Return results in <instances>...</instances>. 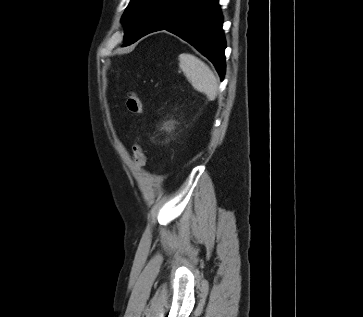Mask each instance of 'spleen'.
I'll use <instances>...</instances> for the list:
<instances>
[{
    "label": "spleen",
    "mask_w": 363,
    "mask_h": 317,
    "mask_svg": "<svg viewBox=\"0 0 363 317\" xmlns=\"http://www.w3.org/2000/svg\"><path fill=\"white\" fill-rule=\"evenodd\" d=\"M179 67L194 89L204 93L210 100L218 92V81L213 71L198 57L182 53L179 55Z\"/></svg>",
    "instance_id": "spleen-1"
}]
</instances>
